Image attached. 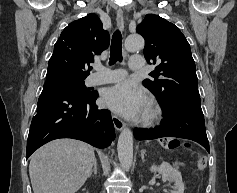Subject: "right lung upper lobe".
<instances>
[{
    "instance_id": "right-lung-upper-lobe-1",
    "label": "right lung upper lobe",
    "mask_w": 237,
    "mask_h": 193,
    "mask_svg": "<svg viewBox=\"0 0 237 193\" xmlns=\"http://www.w3.org/2000/svg\"><path fill=\"white\" fill-rule=\"evenodd\" d=\"M110 36L102 28L96 14L73 21L61 33L48 61L47 71H61L71 76L86 78L94 56L108 48Z\"/></svg>"
}]
</instances>
